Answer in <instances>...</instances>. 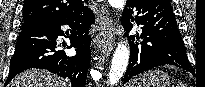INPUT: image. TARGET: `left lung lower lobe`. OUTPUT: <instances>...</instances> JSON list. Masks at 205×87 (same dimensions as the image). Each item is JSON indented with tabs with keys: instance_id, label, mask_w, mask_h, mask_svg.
I'll list each match as a JSON object with an SVG mask.
<instances>
[{
	"instance_id": "0a47b994",
	"label": "left lung lower lobe",
	"mask_w": 205,
	"mask_h": 87,
	"mask_svg": "<svg viewBox=\"0 0 205 87\" xmlns=\"http://www.w3.org/2000/svg\"><path fill=\"white\" fill-rule=\"evenodd\" d=\"M134 11H137L135 18ZM134 21L143 31L136 39L143 41L135 44L134 35L128 38L130 60L123 84L139 73L166 64L191 72L170 0H127L121 23L129 29Z\"/></svg>"
}]
</instances>
